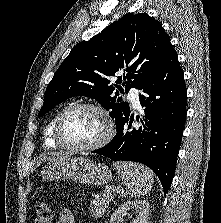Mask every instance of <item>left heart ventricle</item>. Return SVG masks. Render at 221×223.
Masks as SVG:
<instances>
[{
  "mask_svg": "<svg viewBox=\"0 0 221 223\" xmlns=\"http://www.w3.org/2000/svg\"><path fill=\"white\" fill-rule=\"evenodd\" d=\"M106 132V122L97 112L77 109L68 113L61 124V136L69 144L87 146L95 143Z\"/></svg>",
  "mask_w": 221,
  "mask_h": 223,
  "instance_id": "1",
  "label": "left heart ventricle"
}]
</instances>
